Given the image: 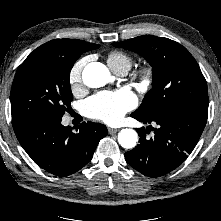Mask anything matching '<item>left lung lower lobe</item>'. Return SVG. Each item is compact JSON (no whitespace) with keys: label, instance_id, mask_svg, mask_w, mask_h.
<instances>
[{"label":"left lung lower lobe","instance_id":"obj_1","mask_svg":"<svg viewBox=\"0 0 221 221\" xmlns=\"http://www.w3.org/2000/svg\"><path fill=\"white\" fill-rule=\"evenodd\" d=\"M131 116L149 126L154 134L147 137L149 128H139V144L125 153L131 167L148 177H160L183 163L196 146L207 122L208 112L196 108H181L165 115L152 117L132 113Z\"/></svg>","mask_w":221,"mask_h":221}]
</instances>
